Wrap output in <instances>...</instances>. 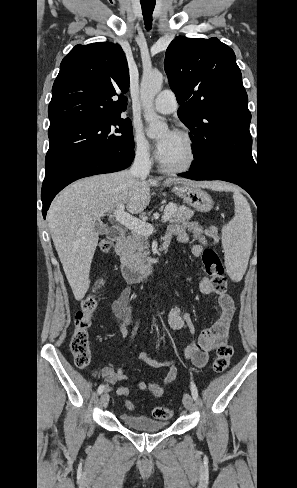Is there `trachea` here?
Masks as SVG:
<instances>
[{
  "mask_svg": "<svg viewBox=\"0 0 297 488\" xmlns=\"http://www.w3.org/2000/svg\"><path fill=\"white\" fill-rule=\"evenodd\" d=\"M142 12L145 20V26L147 30L151 29L152 13L155 7V2H149L147 0L141 1Z\"/></svg>",
  "mask_w": 297,
  "mask_h": 488,
  "instance_id": "trachea-1",
  "label": "trachea"
}]
</instances>
